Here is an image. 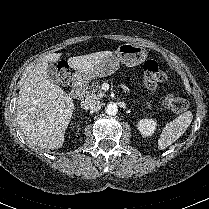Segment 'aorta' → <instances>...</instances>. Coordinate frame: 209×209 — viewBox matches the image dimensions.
<instances>
[{
	"label": "aorta",
	"mask_w": 209,
	"mask_h": 209,
	"mask_svg": "<svg viewBox=\"0 0 209 209\" xmlns=\"http://www.w3.org/2000/svg\"><path fill=\"white\" fill-rule=\"evenodd\" d=\"M105 112L108 115H116L118 112V106L115 103H110L106 106Z\"/></svg>",
	"instance_id": "aorta-1"
}]
</instances>
